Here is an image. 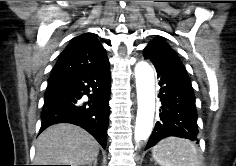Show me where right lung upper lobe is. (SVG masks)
<instances>
[{
  "label": "right lung upper lobe",
  "instance_id": "right-lung-upper-lobe-1",
  "mask_svg": "<svg viewBox=\"0 0 236 166\" xmlns=\"http://www.w3.org/2000/svg\"><path fill=\"white\" fill-rule=\"evenodd\" d=\"M109 63L105 49L93 33H84L71 40L61 53L52 74L81 73L99 69Z\"/></svg>",
  "mask_w": 236,
  "mask_h": 166
}]
</instances>
